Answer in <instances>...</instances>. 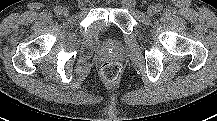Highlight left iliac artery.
Returning a JSON list of instances; mask_svg holds the SVG:
<instances>
[{
	"mask_svg": "<svg viewBox=\"0 0 217 121\" xmlns=\"http://www.w3.org/2000/svg\"><path fill=\"white\" fill-rule=\"evenodd\" d=\"M155 9L157 12H161L163 9V6L161 4H157Z\"/></svg>",
	"mask_w": 217,
	"mask_h": 121,
	"instance_id": "obj_1",
	"label": "left iliac artery"
}]
</instances>
